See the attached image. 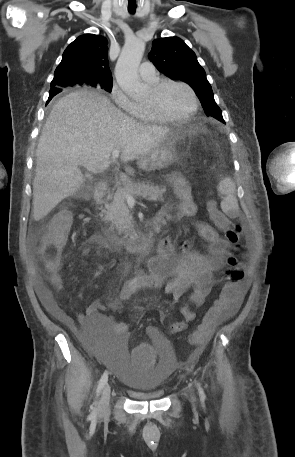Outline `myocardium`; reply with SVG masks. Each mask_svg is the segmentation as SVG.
I'll list each match as a JSON object with an SVG mask.
<instances>
[{
  "mask_svg": "<svg viewBox=\"0 0 295 457\" xmlns=\"http://www.w3.org/2000/svg\"><path fill=\"white\" fill-rule=\"evenodd\" d=\"M169 85H177V86L184 87L189 92V94H190V96L192 98V107L189 110V112L186 113L183 116H180V117H167V116H164L160 112V110L157 108V106L155 104H146L147 110L149 111V113L152 115V117L156 121H159V122H162V123H180V122H184L186 120H189L190 118H192L197 113V111L199 109V99H198V96H197L196 92L194 91V89L189 84H187V83H185L183 81L172 80V79H162V80H160L159 82L153 84L152 90L155 93L158 94L165 87H167Z\"/></svg>",
  "mask_w": 295,
  "mask_h": 457,
  "instance_id": "f54148a6",
  "label": "myocardium"
}]
</instances>
